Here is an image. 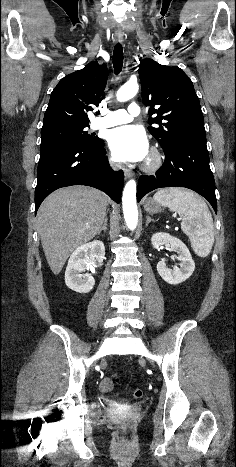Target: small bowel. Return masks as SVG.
<instances>
[{
  "label": "small bowel",
  "instance_id": "obj_1",
  "mask_svg": "<svg viewBox=\"0 0 236 467\" xmlns=\"http://www.w3.org/2000/svg\"><path fill=\"white\" fill-rule=\"evenodd\" d=\"M112 388V381L109 378H104L102 380V389L108 391Z\"/></svg>",
  "mask_w": 236,
  "mask_h": 467
}]
</instances>
